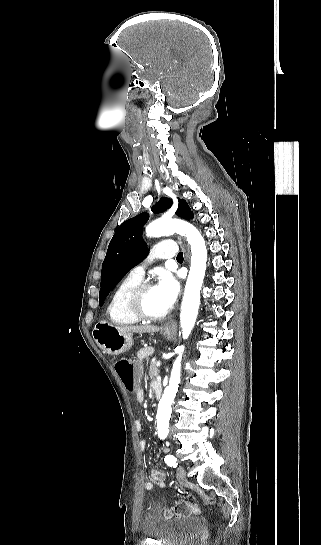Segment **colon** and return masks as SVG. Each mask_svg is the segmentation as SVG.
Returning a JSON list of instances; mask_svg holds the SVG:
<instances>
[{
    "instance_id": "obj_1",
    "label": "colon",
    "mask_w": 321,
    "mask_h": 545,
    "mask_svg": "<svg viewBox=\"0 0 321 545\" xmlns=\"http://www.w3.org/2000/svg\"><path fill=\"white\" fill-rule=\"evenodd\" d=\"M115 370L128 391H134L137 388L136 370L130 361L126 359L118 360L115 364ZM198 511L197 504L189 501L179 502L172 509V512L182 516L197 513ZM172 512L170 511L168 514Z\"/></svg>"
}]
</instances>
